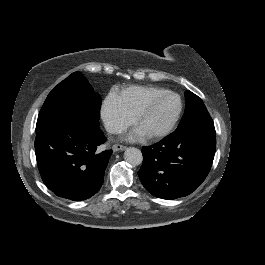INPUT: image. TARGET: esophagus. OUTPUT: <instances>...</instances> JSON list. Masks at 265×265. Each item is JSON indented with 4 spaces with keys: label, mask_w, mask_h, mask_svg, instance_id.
<instances>
[{
    "label": "esophagus",
    "mask_w": 265,
    "mask_h": 265,
    "mask_svg": "<svg viewBox=\"0 0 265 265\" xmlns=\"http://www.w3.org/2000/svg\"><path fill=\"white\" fill-rule=\"evenodd\" d=\"M126 149V146H123L121 144H115L113 145V151L117 152V151H124Z\"/></svg>",
    "instance_id": "obj_1"
}]
</instances>
